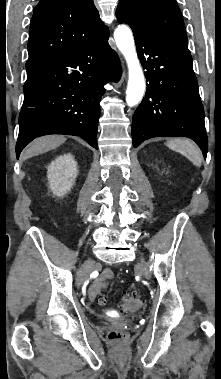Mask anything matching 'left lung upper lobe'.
Segmentation results:
<instances>
[{
	"label": "left lung upper lobe",
	"mask_w": 221,
	"mask_h": 379,
	"mask_svg": "<svg viewBox=\"0 0 221 379\" xmlns=\"http://www.w3.org/2000/svg\"><path fill=\"white\" fill-rule=\"evenodd\" d=\"M117 13L153 36L188 47L182 14L175 0H119Z\"/></svg>",
	"instance_id": "obj_1"
}]
</instances>
